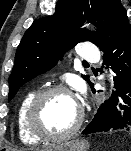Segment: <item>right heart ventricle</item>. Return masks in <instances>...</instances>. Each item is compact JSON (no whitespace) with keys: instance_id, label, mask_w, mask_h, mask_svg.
Instances as JSON below:
<instances>
[{"instance_id":"right-heart-ventricle-1","label":"right heart ventricle","mask_w":131,"mask_h":151,"mask_svg":"<svg viewBox=\"0 0 131 151\" xmlns=\"http://www.w3.org/2000/svg\"><path fill=\"white\" fill-rule=\"evenodd\" d=\"M35 94V90L26 92L18 105L16 113V127L18 136L20 140L27 145H34L40 142V139L36 138L29 132L26 125V113Z\"/></svg>"}]
</instances>
